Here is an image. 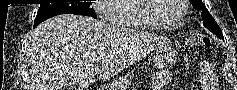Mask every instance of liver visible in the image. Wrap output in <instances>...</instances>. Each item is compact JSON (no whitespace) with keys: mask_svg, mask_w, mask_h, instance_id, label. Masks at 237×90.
I'll return each instance as SVG.
<instances>
[{"mask_svg":"<svg viewBox=\"0 0 237 90\" xmlns=\"http://www.w3.org/2000/svg\"><path fill=\"white\" fill-rule=\"evenodd\" d=\"M155 38L74 14H62L39 24L32 32L27 60L31 90H85L108 80L144 58Z\"/></svg>","mask_w":237,"mask_h":90,"instance_id":"liver-1","label":"liver"}]
</instances>
